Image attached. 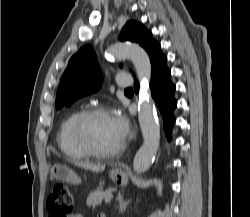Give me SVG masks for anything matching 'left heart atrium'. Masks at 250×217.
Listing matches in <instances>:
<instances>
[{
    "label": "left heart atrium",
    "instance_id": "1",
    "mask_svg": "<svg viewBox=\"0 0 250 217\" xmlns=\"http://www.w3.org/2000/svg\"><path fill=\"white\" fill-rule=\"evenodd\" d=\"M111 116L114 126L121 140H124L128 134V129H129V124L127 119L121 114H113Z\"/></svg>",
    "mask_w": 250,
    "mask_h": 217
}]
</instances>
